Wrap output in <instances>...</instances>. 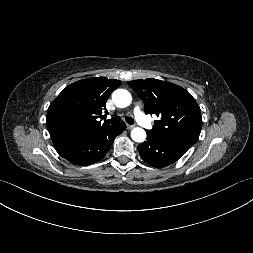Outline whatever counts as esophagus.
Wrapping results in <instances>:
<instances>
[{
	"instance_id": "34e87169",
	"label": "esophagus",
	"mask_w": 253,
	"mask_h": 253,
	"mask_svg": "<svg viewBox=\"0 0 253 253\" xmlns=\"http://www.w3.org/2000/svg\"><path fill=\"white\" fill-rule=\"evenodd\" d=\"M134 127H135L134 125H129V124L127 125V129H128V130L133 129Z\"/></svg>"
}]
</instances>
